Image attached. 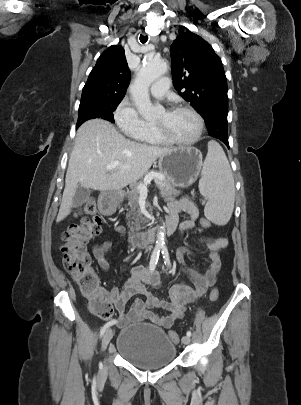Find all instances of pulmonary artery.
Instances as JSON below:
<instances>
[{
    "mask_svg": "<svg viewBox=\"0 0 301 405\" xmlns=\"http://www.w3.org/2000/svg\"><path fill=\"white\" fill-rule=\"evenodd\" d=\"M169 86L170 79L168 77H161L151 85L150 92L154 97L161 98L166 95Z\"/></svg>",
    "mask_w": 301,
    "mask_h": 405,
    "instance_id": "e3ab8cb5",
    "label": "pulmonary artery"
}]
</instances>
